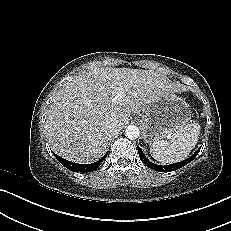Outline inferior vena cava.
I'll return each mask as SVG.
<instances>
[{
  "label": "inferior vena cava",
  "mask_w": 231,
  "mask_h": 231,
  "mask_svg": "<svg viewBox=\"0 0 231 231\" xmlns=\"http://www.w3.org/2000/svg\"><path fill=\"white\" fill-rule=\"evenodd\" d=\"M106 129H107V132H108L110 135H115V134H117V133L120 131V128H119L118 125L115 124V123H112V124L108 125V126L106 127Z\"/></svg>",
  "instance_id": "inferior-vena-cava-1"
}]
</instances>
